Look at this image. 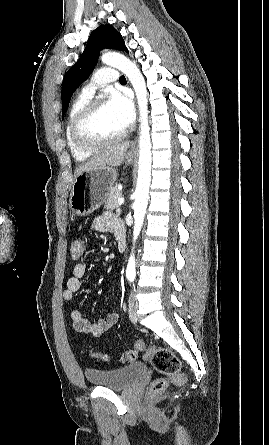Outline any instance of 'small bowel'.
Returning a JSON list of instances; mask_svg holds the SVG:
<instances>
[{
	"label": "small bowel",
	"mask_w": 269,
	"mask_h": 445,
	"mask_svg": "<svg viewBox=\"0 0 269 445\" xmlns=\"http://www.w3.org/2000/svg\"><path fill=\"white\" fill-rule=\"evenodd\" d=\"M92 228L96 232H110L115 236L120 231H125L122 222L110 212H104L97 216L92 222ZM86 271L87 268L84 263L74 265L72 276L67 280L66 289L63 291V299L66 302H74L75 295L83 287L82 279ZM111 288L115 290V286H111ZM70 318L76 332L99 336L118 322L119 315L115 311H110L105 318L90 322L79 309H74L70 313Z\"/></svg>",
	"instance_id": "c3829d8e"
}]
</instances>
